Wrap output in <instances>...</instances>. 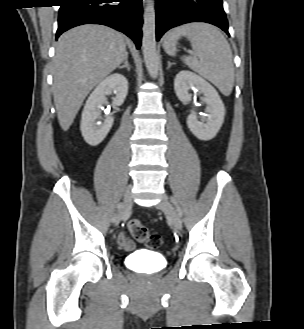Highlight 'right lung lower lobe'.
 I'll list each match as a JSON object with an SVG mask.
<instances>
[{
    "mask_svg": "<svg viewBox=\"0 0 304 329\" xmlns=\"http://www.w3.org/2000/svg\"><path fill=\"white\" fill-rule=\"evenodd\" d=\"M119 1V2H114ZM142 0H62L56 39L82 24H102L125 33L140 48Z\"/></svg>",
    "mask_w": 304,
    "mask_h": 329,
    "instance_id": "98d812e1",
    "label": "right lung lower lobe"
}]
</instances>
